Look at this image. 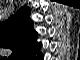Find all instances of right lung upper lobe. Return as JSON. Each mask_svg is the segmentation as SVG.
<instances>
[{
    "instance_id": "1",
    "label": "right lung upper lobe",
    "mask_w": 80,
    "mask_h": 60,
    "mask_svg": "<svg viewBox=\"0 0 80 60\" xmlns=\"http://www.w3.org/2000/svg\"><path fill=\"white\" fill-rule=\"evenodd\" d=\"M31 11L22 7L14 16L5 22V32L1 35L4 47L12 49L13 55L25 57L36 48L37 33L30 19Z\"/></svg>"
}]
</instances>
